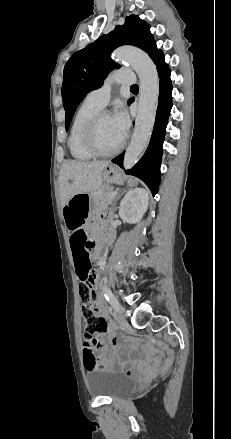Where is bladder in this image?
Masks as SVG:
<instances>
[{
	"label": "bladder",
	"mask_w": 231,
	"mask_h": 439,
	"mask_svg": "<svg viewBox=\"0 0 231 439\" xmlns=\"http://www.w3.org/2000/svg\"><path fill=\"white\" fill-rule=\"evenodd\" d=\"M92 396L119 398L137 390L139 381L112 368L89 369L85 375Z\"/></svg>",
	"instance_id": "obj_1"
}]
</instances>
